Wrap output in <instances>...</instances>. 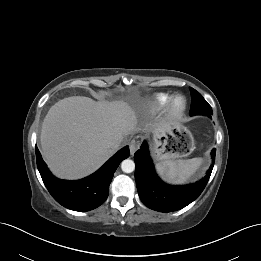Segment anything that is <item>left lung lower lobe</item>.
I'll return each mask as SVG.
<instances>
[{"mask_svg": "<svg viewBox=\"0 0 261 261\" xmlns=\"http://www.w3.org/2000/svg\"><path fill=\"white\" fill-rule=\"evenodd\" d=\"M216 149L211 152L212 165L207 175L200 181L185 185L172 186L160 180L149 156L147 143L144 142L134 155L135 181L141 201L150 209L160 212L177 211L199 197L211 175Z\"/></svg>", "mask_w": 261, "mask_h": 261, "instance_id": "1", "label": "left lung lower lobe"}]
</instances>
